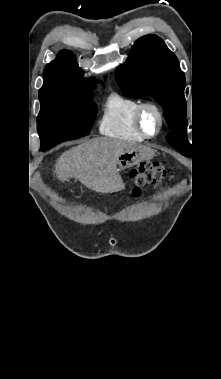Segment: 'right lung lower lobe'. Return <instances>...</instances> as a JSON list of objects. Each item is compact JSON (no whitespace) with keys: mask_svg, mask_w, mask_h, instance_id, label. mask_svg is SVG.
Wrapping results in <instances>:
<instances>
[{"mask_svg":"<svg viewBox=\"0 0 221 379\" xmlns=\"http://www.w3.org/2000/svg\"><path fill=\"white\" fill-rule=\"evenodd\" d=\"M42 151H46V150H48V148L47 149H41Z\"/></svg>","mask_w":221,"mask_h":379,"instance_id":"1","label":"right lung lower lobe"}]
</instances>
